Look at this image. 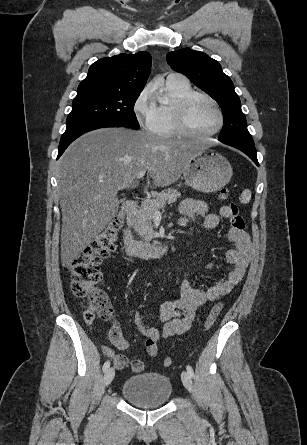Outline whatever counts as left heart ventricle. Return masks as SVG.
I'll return each mask as SVG.
<instances>
[{"mask_svg":"<svg viewBox=\"0 0 307 445\" xmlns=\"http://www.w3.org/2000/svg\"><path fill=\"white\" fill-rule=\"evenodd\" d=\"M188 118L192 127L198 132H209L220 124V114L217 108L208 101L198 99L188 110Z\"/></svg>","mask_w":307,"mask_h":445,"instance_id":"left-heart-ventricle-1","label":"left heart ventricle"}]
</instances>
